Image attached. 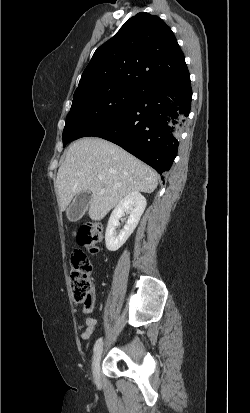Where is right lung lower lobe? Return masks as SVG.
<instances>
[{"instance_id": "right-lung-lower-lobe-1", "label": "right lung lower lobe", "mask_w": 250, "mask_h": 413, "mask_svg": "<svg viewBox=\"0 0 250 413\" xmlns=\"http://www.w3.org/2000/svg\"><path fill=\"white\" fill-rule=\"evenodd\" d=\"M190 76L180 83H161L142 90L117 116L89 132L111 141L153 167L168 171L190 113Z\"/></svg>"}]
</instances>
